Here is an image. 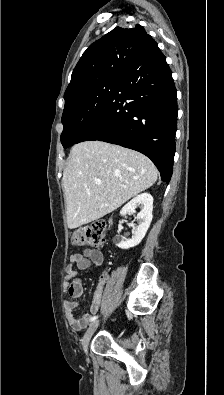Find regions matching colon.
<instances>
[{
  "label": "colon",
  "mask_w": 224,
  "mask_h": 395,
  "mask_svg": "<svg viewBox=\"0 0 224 395\" xmlns=\"http://www.w3.org/2000/svg\"><path fill=\"white\" fill-rule=\"evenodd\" d=\"M105 223H98L74 231L70 241L74 246H90L100 248L105 242Z\"/></svg>",
  "instance_id": "1"
}]
</instances>
